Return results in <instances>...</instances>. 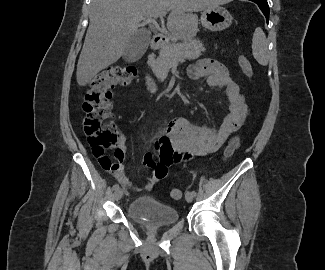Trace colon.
Instances as JSON below:
<instances>
[{
    "instance_id": "colon-1",
    "label": "colon",
    "mask_w": 325,
    "mask_h": 270,
    "mask_svg": "<svg viewBox=\"0 0 325 270\" xmlns=\"http://www.w3.org/2000/svg\"><path fill=\"white\" fill-rule=\"evenodd\" d=\"M238 63L243 73L253 77L250 61L243 55L238 57ZM136 75L134 67H109L96 75L88 85L82 108L85 112L84 131L88 138L93 155L103 168L114 170L118 167L116 161L106 156V151L116 145L118 132L114 123L111 103V89L116 85H127ZM240 145V138L233 137L224 151V157L230 158ZM170 196L174 200L182 198V191L172 189Z\"/></svg>"
}]
</instances>
